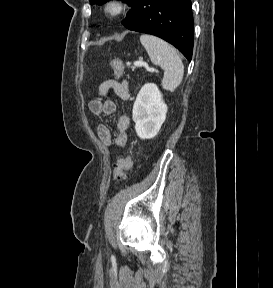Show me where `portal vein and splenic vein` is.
Masks as SVG:
<instances>
[{
  "label": "portal vein and splenic vein",
  "instance_id": "1",
  "mask_svg": "<svg viewBox=\"0 0 273 288\" xmlns=\"http://www.w3.org/2000/svg\"><path fill=\"white\" fill-rule=\"evenodd\" d=\"M145 66L149 71H153L151 68L147 66V64L143 61H136L134 62V67H142Z\"/></svg>",
  "mask_w": 273,
  "mask_h": 288
}]
</instances>
